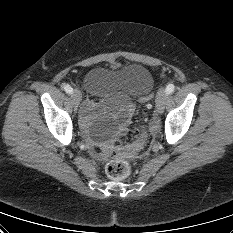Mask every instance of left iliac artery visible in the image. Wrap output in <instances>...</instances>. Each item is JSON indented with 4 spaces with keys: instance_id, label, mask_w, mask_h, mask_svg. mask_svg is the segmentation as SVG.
<instances>
[{
    "instance_id": "obj_1",
    "label": "left iliac artery",
    "mask_w": 233,
    "mask_h": 233,
    "mask_svg": "<svg viewBox=\"0 0 233 233\" xmlns=\"http://www.w3.org/2000/svg\"><path fill=\"white\" fill-rule=\"evenodd\" d=\"M174 89H175L174 84H169V85H167V87H166V89H165L166 94H171V93L174 91Z\"/></svg>"
}]
</instances>
